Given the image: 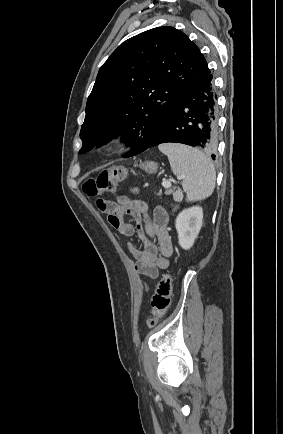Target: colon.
Instances as JSON below:
<instances>
[{
  "instance_id": "obj_1",
  "label": "colon",
  "mask_w": 283,
  "mask_h": 434,
  "mask_svg": "<svg viewBox=\"0 0 283 434\" xmlns=\"http://www.w3.org/2000/svg\"><path fill=\"white\" fill-rule=\"evenodd\" d=\"M127 176V170L123 167H114L101 171L94 177L88 178L83 183V191L90 197L110 191ZM172 278L170 272H165L158 282L155 293L151 299L152 316L147 324L153 327L167 312L171 302Z\"/></svg>"
}]
</instances>
